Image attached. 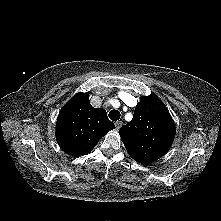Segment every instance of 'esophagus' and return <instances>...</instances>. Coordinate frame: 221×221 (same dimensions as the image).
<instances>
[{"label": "esophagus", "mask_w": 221, "mask_h": 221, "mask_svg": "<svg viewBox=\"0 0 221 221\" xmlns=\"http://www.w3.org/2000/svg\"><path fill=\"white\" fill-rule=\"evenodd\" d=\"M122 124H123L122 121H117V122H115L116 129L119 130L120 127L122 126Z\"/></svg>", "instance_id": "34e87169"}]
</instances>
